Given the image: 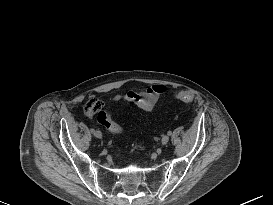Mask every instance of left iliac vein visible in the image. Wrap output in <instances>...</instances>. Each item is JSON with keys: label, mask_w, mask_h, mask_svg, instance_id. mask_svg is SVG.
I'll use <instances>...</instances> for the list:
<instances>
[{"label": "left iliac vein", "mask_w": 273, "mask_h": 205, "mask_svg": "<svg viewBox=\"0 0 273 205\" xmlns=\"http://www.w3.org/2000/svg\"><path fill=\"white\" fill-rule=\"evenodd\" d=\"M169 142V136L168 135H164L161 139V143L162 145H166Z\"/></svg>", "instance_id": "1"}]
</instances>
